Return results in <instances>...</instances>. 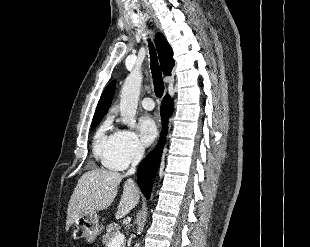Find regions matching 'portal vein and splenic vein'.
Segmentation results:
<instances>
[{"label": "portal vein and splenic vein", "instance_id": "1", "mask_svg": "<svg viewBox=\"0 0 310 247\" xmlns=\"http://www.w3.org/2000/svg\"><path fill=\"white\" fill-rule=\"evenodd\" d=\"M124 239V235L119 233L108 243L107 247H120L123 244Z\"/></svg>", "mask_w": 310, "mask_h": 247}]
</instances>
